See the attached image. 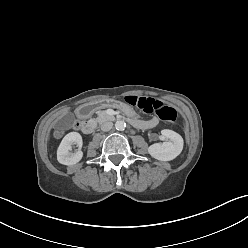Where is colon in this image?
Here are the masks:
<instances>
[{
  "instance_id": "1",
  "label": "colon",
  "mask_w": 248,
  "mask_h": 248,
  "mask_svg": "<svg viewBox=\"0 0 248 248\" xmlns=\"http://www.w3.org/2000/svg\"><path fill=\"white\" fill-rule=\"evenodd\" d=\"M128 100L132 105L137 106L143 112L148 114L155 113L160 119L166 122L173 123L177 119L176 111L161 101L147 97H129ZM61 135V131L57 132V136Z\"/></svg>"
}]
</instances>
